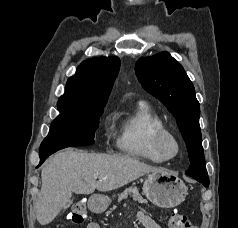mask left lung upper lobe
Instances as JSON below:
<instances>
[{
  "label": "left lung upper lobe",
  "mask_w": 238,
  "mask_h": 228,
  "mask_svg": "<svg viewBox=\"0 0 238 228\" xmlns=\"http://www.w3.org/2000/svg\"><path fill=\"white\" fill-rule=\"evenodd\" d=\"M143 88L158 98L177 120L191 165L188 174L207 175L199 125L200 105L183 67L168 53L140 58L135 66Z\"/></svg>",
  "instance_id": "1"
}]
</instances>
